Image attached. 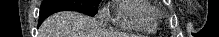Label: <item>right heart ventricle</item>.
Instances as JSON below:
<instances>
[{"label": "right heart ventricle", "instance_id": "right-heart-ventricle-1", "mask_svg": "<svg viewBox=\"0 0 219 37\" xmlns=\"http://www.w3.org/2000/svg\"><path fill=\"white\" fill-rule=\"evenodd\" d=\"M158 8L148 0H123L116 10L114 23L129 30L151 32L156 28Z\"/></svg>", "mask_w": 219, "mask_h": 37}]
</instances>
